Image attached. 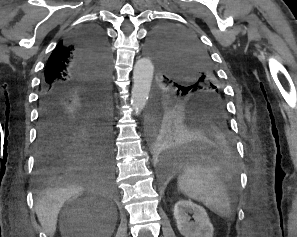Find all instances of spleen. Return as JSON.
Returning <instances> with one entry per match:
<instances>
[{"instance_id":"3e777b00","label":"spleen","mask_w":297,"mask_h":237,"mask_svg":"<svg viewBox=\"0 0 297 237\" xmlns=\"http://www.w3.org/2000/svg\"><path fill=\"white\" fill-rule=\"evenodd\" d=\"M178 189L188 198L202 202L220 217L231 218L230 195L219 167L192 164L178 177Z\"/></svg>"}]
</instances>
